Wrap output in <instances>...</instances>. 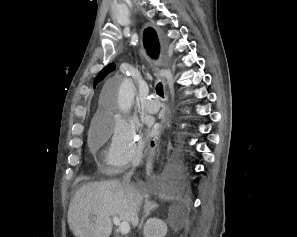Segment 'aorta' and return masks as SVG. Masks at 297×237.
I'll return each instance as SVG.
<instances>
[{"label":"aorta","instance_id":"aorta-1","mask_svg":"<svg viewBox=\"0 0 297 237\" xmlns=\"http://www.w3.org/2000/svg\"><path fill=\"white\" fill-rule=\"evenodd\" d=\"M134 97V85L129 79H125L120 87L118 93V106L123 112H127L132 105Z\"/></svg>","mask_w":297,"mask_h":237}]
</instances>
